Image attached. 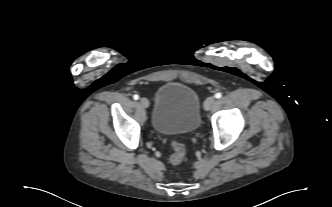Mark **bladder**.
Returning <instances> with one entry per match:
<instances>
[{
	"label": "bladder",
	"instance_id": "31cf9c89",
	"mask_svg": "<svg viewBox=\"0 0 332 207\" xmlns=\"http://www.w3.org/2000/svg\"><path fill=\"white\" fill-rule=\"evenodd\" d=\"M200 97L192 87L168 82L155 93L151 123L163 135L194 133L200 125Z\"/></svg>",
	"mask_w": 332,
	"mask_h": 207
}]
</instances>
